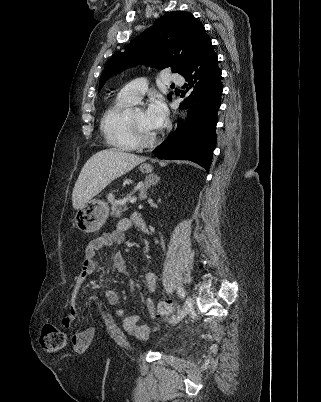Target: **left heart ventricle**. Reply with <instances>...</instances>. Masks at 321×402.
<instances>
[{"label": "left heart ventricle", "mask_w": 321, "mask_h": 402, "mask_svg": "<svg viewBox=\"0 0 321 402\" xmlns=\"http://www.w3.org/2000/svg\"><path fill=\"white\" fill-rule=\"evenodd\" d=\"M130 118L135 126V128L144 136H152L156 133V131L150 129L146 122L143 111H134L130 115Z\"/></svg>", "instance_id": "1"}]
</instances>
